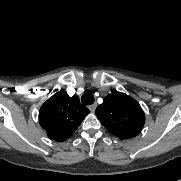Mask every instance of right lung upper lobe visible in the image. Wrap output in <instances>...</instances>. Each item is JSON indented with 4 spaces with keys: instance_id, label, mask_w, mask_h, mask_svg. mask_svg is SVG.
Returning a JSON list of instances; mask_svg holds the SVG:
<instances>
[{
    "instance_id": "1",
    "label": "right lung upper lobe",
    "mask_w": 181,
    "mask_h": 181,
    "mask_svg": "<svg viewBox=\"0 0 181 181\" xmlns=\"http://www.w3.org/2000/svg\"><path fill=\"white\" fill-rule=\"evenodd\" d=\"M89 113V109L80 104L77 96L70 97L67 92L60 90L41 106L39 122L49 139L65 141Z\"/></svg>"
}]
</instances>
